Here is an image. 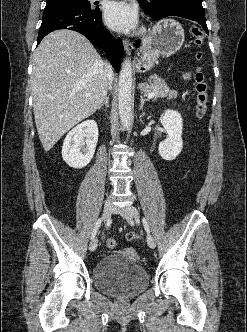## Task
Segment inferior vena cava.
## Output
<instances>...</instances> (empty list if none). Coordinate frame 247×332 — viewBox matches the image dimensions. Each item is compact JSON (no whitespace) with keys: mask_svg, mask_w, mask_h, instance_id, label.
Wrapping results in <instances>:
<instances>
[{"mask_svg":"<svg viewBox=\"0 0 247 332\" xmlns=\"http://www.w3.org/2000/svg\"><path fill=\"white\" fill-rule=\"evenodd\" d=\"M105 75L108 80L109 89H111L112 81H113V69L109 63H105Z\"/></svg>","mask_w":247,"mask_h":332,"instance_id":"inferior-vena-cava-1","label":"inferior vena cava"}]
</instances>
